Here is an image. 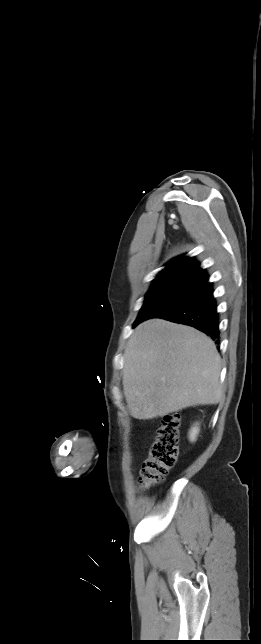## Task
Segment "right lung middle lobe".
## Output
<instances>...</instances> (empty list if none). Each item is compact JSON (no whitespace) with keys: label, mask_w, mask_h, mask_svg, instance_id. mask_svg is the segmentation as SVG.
Here are the masks:
<instances>
[{"label":"right lung middle lobe","mask_w":261,"mask_h":644,"mask_svg":"<svg viewBox=\"0 0 261 644\" xmlns=\"http://www.w3.org/2000/svg\"><path fill=\"white\" fill-rule=\"evenodd\" d=\"M201 286L183 280L153 283L133 326L147 319L160 317L175 309L193 297Z\"/></svg>","instance_id":"dd1d6c3e"}]
</instances>
